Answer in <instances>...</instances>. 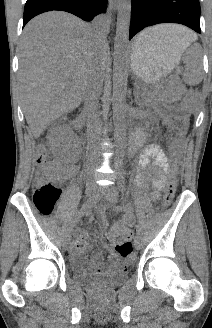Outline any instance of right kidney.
<instances>
[{
  "instance_id": "ca27d5eb",
  "label": "right kidney",
  "mask_w": 212,
  "mask_h": 328,
  "mask_svg": "<svg viewBox=\"0 0 212 328\" xmlns=\"http://www.w3.org/2000/svg\"><path fill=\"white\" fill-rule=\"evenodd\" d=\"M60 128V126H57L55 129L57 130V129H59Z\"/></svg>"
}]
</instances>
